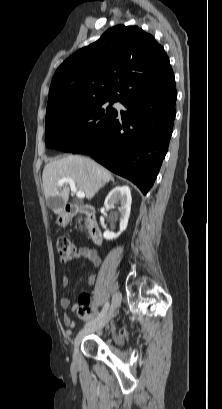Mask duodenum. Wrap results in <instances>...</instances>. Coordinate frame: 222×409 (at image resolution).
<instances>
[{
  "instance_id": "1",
  "label": "duodenum",
  "mask_w": 222,
  "mask_h": 409,
  "mask_svg": "<svg viewBox=\"0 0 222 409\" xmlns=\"http://www.w3.org/2000/svg\"><path fill=\"white\" fill-rule=\"evenodd\" d=\"M83 213L85 215L86 226L88 230V235L91 242L94 245H101L102 243V232L100 226L96 220L95 209L90 205H68L66 206V218L71 219L73 216Z\"/></svg>"
}]
</instances>
